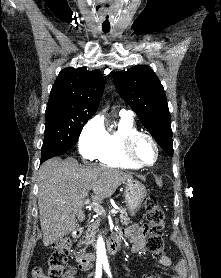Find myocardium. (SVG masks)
I'll return each mask as SVG.
<instances>
[{
    "instance_id": "myocardium-1",
    "label": "myocardium",
    "mask_w": 221,
    "mask_h": 278,
    "mask_svg": "<svg viewBox=\"0 0 221 278\" xmlns=\"http://www.w3.org/2000/svg\"><path fill=\"white\" fill-rule=\"evenodd\" d=\"M141 138L148 139L155 148L156 156H155V160L152 164L142 163L136 157L135 146H136L138 140ZM122 152H123L124 157L128 161H130L131 163H133L134 165H136L139 168H147V167L154 166L157 163V161L159 160V156H160V148H159V145H158L157 141L155 140V138L148 133L140 132V131H137V132L132 133L125 137L124 142H123Z\"/></svg>"
}]
</instances>
